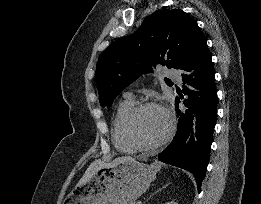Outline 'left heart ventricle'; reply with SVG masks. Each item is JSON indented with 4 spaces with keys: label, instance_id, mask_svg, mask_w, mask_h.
Masks as SVG:
<instances>
[{
    "label": "left heart ventricle",
    "instance_id": "left-heart-ventricle-1",
    "mask_svg": "<svg viewBox=\"0 0 261 204\" xmlns=\"http://www.w3.org/2000/svg\"><path fill=\"white\" fill-rule=\"evenodd\" d=\"M167 126V118L161 110L148 108L136 118L133 130L142 142L150 144L164 136Z\"/></svg>",
    "mask_w": 261,
    "mask_h": 204
}]
</instances>
